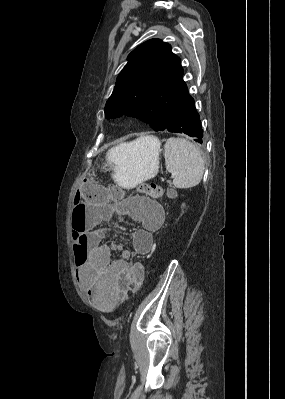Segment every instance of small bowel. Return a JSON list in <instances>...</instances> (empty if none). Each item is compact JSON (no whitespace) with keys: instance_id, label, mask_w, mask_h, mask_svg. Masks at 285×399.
Listing matches in <instances>:
<instances>
[{"instance_id":"obj_1","label":"small bowel","mask_w":285,"mask_h":399,"mask_svg":"<svg viewBox=\"0 0 285 399\" xmlns=\"http://www.w3.org/2000/svg\"><path fill=\"white\" fill-rule=\"evenodd\" d=\"M89 209L96 212L97 218L129 214L139 224L131 234L132 248H127L119 241L87 232L84 229L86 219L71 220L73 255L78 265L79 284L103 313H110L133 288L131 257L134 253L145 255L149 252L153 245L152 236L161 228L164 213L158 205L141 203L130 213H124L114 205L104 208L91 206ZM115 254H120V257L115 258Z\"/></svg>"}]
</instances>
